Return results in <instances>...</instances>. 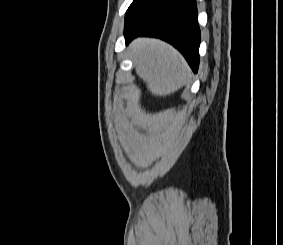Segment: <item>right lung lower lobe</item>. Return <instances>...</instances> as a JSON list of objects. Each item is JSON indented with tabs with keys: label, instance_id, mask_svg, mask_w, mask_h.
I'll use <instances>...</instances> for the list:
<instances>
[{
	"label": "right lung lower lobe",
	"instance_id": "98d812e1",
	"mask_svg": "<svg viewBox=\"0 0 283 245\" xmlns=\"http://www.w3.org/2000/svg\"><path fill=\"white\" fill-rule=\"evenodd\" d=\"M125 41L138 36L160 38L176 47L196 73L200 29L195 0H153L125 22Z\"/></svg>",
	"mask_w": 283,
	"mask_h": 245
}]
</instances>
